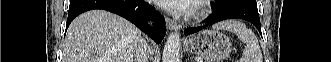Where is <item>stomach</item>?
Returning a JSON list of instances; mask_svg holds the SVG:
<instances>
[{
    "label": "stomach",
    "mask_w": 331,
    "mask_h": 62,
    "mask_svg": "<svg viewBox=\"0 0 331 62\" xmlns=\"http://www.w3.org/2000/svg\"><path fill=\"white\" fill-rule=\"evenodd\" d=\"M229 38L217 30H204L186 42V49L206 62H222L231 52Z\"/></svg>",
    "instance_id": "0dacf381"
}]
</instances>
